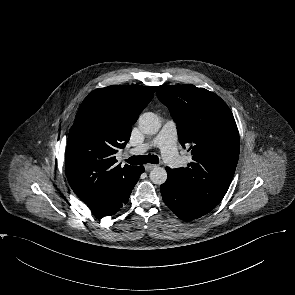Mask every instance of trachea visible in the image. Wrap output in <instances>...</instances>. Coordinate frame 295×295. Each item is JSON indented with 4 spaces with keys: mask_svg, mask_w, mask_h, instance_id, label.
I'll return each instance as SVG.
<instances>
[{
    "mask_svg": "<svg viewBox=\"0 0 295 295\" xmlns=\"http://www.w3.org/2000/svg\"><path fill=\"white\" fill-rule=\"evenodd\" d=\"M131 165H141L146 163L158 164L159 158L156 155L132 156L126 160Z\"/></svg>",
    "mask_w": 295,
    "mask_h": 295,
    "instance_id": "1",
    "label": "trachea"
}]
</instances>
